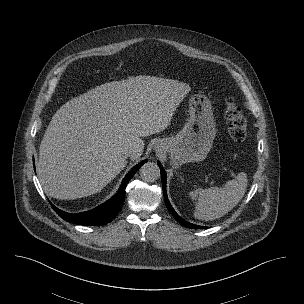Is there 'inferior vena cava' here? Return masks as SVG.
Instances as JSON below:
<instances>
[{"mask_svg":"<svg viewBox=\"0 0 304 304\" xmlns=\"http://www.w3.org/2000/svg\"><path fill=\"white\" fill-rule=\"evenodd\" d=\"M138 149H136V148H134V147H129L127 150H126V153H125V155L127 156V157H131V158H133V157H136L137 155H138Z\"/></svg>","mask_w":304,"mask_h":304,"instance_id":"602c4592","label":"inferior vena cava"}]
</instances>
